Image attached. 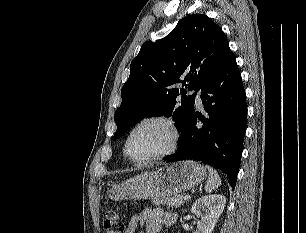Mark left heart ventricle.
I'll return each mask as SVG.
<instances>
[{"label": "left heart ventricle", "mask_w": 306, "mask_h": 233, "mask_svg": "<svg viewBox=\"0 0 306 233\" xmlns=\"http://www.w3.org/2000/svg\"><path fill=\"white\" fill-rule=\"evenodd\" d=\"M170 143L169 128L164 123L152 122L134 132L128 150L133 158H144L166 150Z\"/></svg>", "instance_id": "1"}]
</instances>
